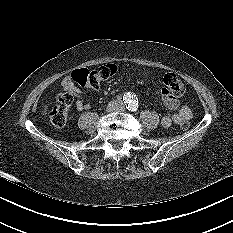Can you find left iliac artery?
<instances>
[{
    "instance_id": "1",
    "label": "left iliac artery",
    "mask_w": 233,
    "mask_h": 233,
    "mask_svg": "<svg viewBox=\"0 0 233 233\" xmlns=\"http://www.w3.org/2000/svg\"><path fill=\"white\" fill-rule=\"evenodd\" d=\"M128 108H129V110H131V111H136L137 108H138V106H137V104H136L135 102H133V103L130 105V107H128Z\"/></svg>"
}]
</instances>
